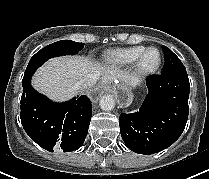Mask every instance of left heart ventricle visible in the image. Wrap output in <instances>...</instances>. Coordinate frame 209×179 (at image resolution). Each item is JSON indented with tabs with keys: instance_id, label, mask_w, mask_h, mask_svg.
Listing matches in <instances>:
<instances>
[{
	"instance_id": "left-heart-ventricle-1",
	"label": "left heart ventricle",
	"mask_w": 209,
	"mask_h": 179,
	"mask_svg": "<svg viewBox=\"0 0 209 179\" xmlns=\"http://www.w3.org/2000/svg\"><path fill=\"white\" fill-rule=\"evenodd\" d=\"M157 62H158V53L155 50L149 51L143 59V65L146 68L153 67Z\"/></svg>"
}]
</instances>
